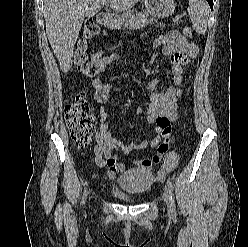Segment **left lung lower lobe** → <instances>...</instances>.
<instances>
[{
  "label": "left lung lower lobe",
  "instance_id": "obj_1",
  "mask_svg": "<svg viewBox=\"0 0 248 247\" xmlns=\"http://www.w3.org/2000/svg\"><path fill=\"white\" fill-rule=\"evenodd\" d=\"M209 5H210V8L213 9V0H207Z\"/></svg>",
  "mask_w": 248,
  "mask_h": 247
}]
</instances>
